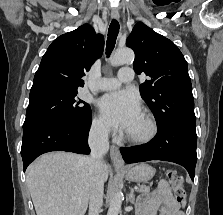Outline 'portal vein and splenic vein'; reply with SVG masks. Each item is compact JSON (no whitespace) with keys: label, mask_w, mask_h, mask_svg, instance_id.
<instances>
[{"label":"portal vein and splenic vein","mask_w":223,"mask_h":215,"mask_svg":"<svg viewBox=\"0 0 223 215\" xmlns=\"http://www.w3.org/2000/svg\"><path fill=\"white\" fill-rule=\"evenodd\" d=\"M139 187L137 185L133 186V189L137 190ZM71 199H76V197H71Z\"/></svg>","instance_id":"18ae733b"}]
</instances>
